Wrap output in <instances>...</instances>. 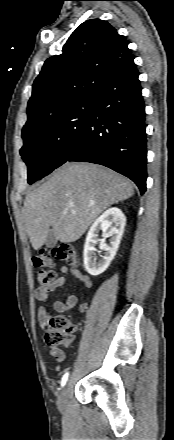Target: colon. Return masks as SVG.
Segmentation results:
<instances>
[{"label": "colon", "mask_w": 174, "mask_h": 440, "mask_svg": "<svg viewBox=\"0 0 174 440\" xmlns=\"http://www.w3.org/2000/svg\"><path fill=\"white\" fill-rule=\"evenodd\" d=\"M55 261H63L70 265L79 263V255L76 248L70 244L61 243L39 250L33 256V263L37 271L36 278L41 287L51 285L56 279V271L53 269ZM45 340L52 349L68 346L73 339V327L68 319L61 315L49 317L44 325Z\"/></svg>", "instance_id": "5ec220e1"}]
</instances>
